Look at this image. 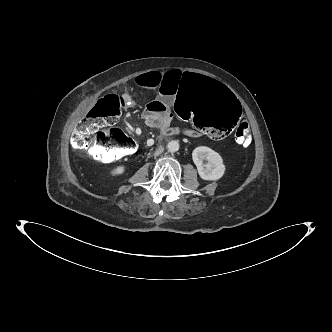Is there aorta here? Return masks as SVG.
Masks as SVG:
<instances>
[{
    "label": "aorta",
    "instance_id": "aorta-1",
    "mask_svg": "<svg viewBox=\"0 0 332 332\" xmlns=\"http://www.w3.org/2000/svg\"><path fill=\"white\" fill-rule=\"evenodd\" d=\"M167 149L170 152H177L179 150V143H178V141H170L167 144Z\"/></svg>",
    "mask_w": 332,
    "mask_h": 332
}]
</instances>
